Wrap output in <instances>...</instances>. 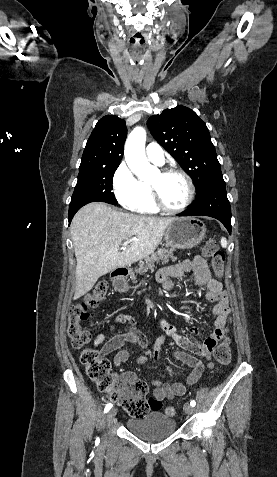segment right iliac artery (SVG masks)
Wrapping results in <instances>:
<instances>
[{
    "label": "right iliac artery",
    "mask_w": 277,
    "mask_h": 477,
    "mask_svg": "<svg viewBox=\"0 0 277 477\" xmlns=\"http://www.w3.org/2000/svg\"><path fill=\"white\" fill-rule=\"evenodd\" d=\"M111 408H112V404L111 403L107 404L104 409V412L107 413Z\"/></svg>",
    "instance_id": "82829eb1"
}]
</instances>
